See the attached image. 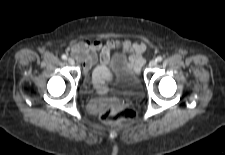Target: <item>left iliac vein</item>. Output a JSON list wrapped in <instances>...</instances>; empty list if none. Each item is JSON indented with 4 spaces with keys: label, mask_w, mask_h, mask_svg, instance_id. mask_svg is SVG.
I'll return each instance as SVG.
<instances>
[{
    "label": "left iliac vein",
    "mask_w": 225,
    "mask_h": 155,
    "mask_svg": "<svg viewBox=\"0 0 225 155\" xmlns=\"http://www.w3.org/2000/svg\"><path fill=\"white\" fill-rule=\"evenodd\" d=\"M157 65V61L156 60H151L149 62V67H155Z\"/></svg>",
    "instance_id": "4c4485c4"
}]
</instances>
